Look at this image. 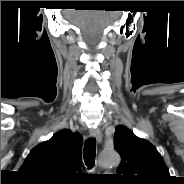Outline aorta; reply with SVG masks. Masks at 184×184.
<instances>
[{"mask_svg":"<svg viewBox=\"0 0 184 184\" xmlns=\"http://www.w3.org/2000/svg\"><path fill=\"white\" fill-rule=\"evenodd\" d=\"M99 163L103 167H115L120 163V156L115 150L103 151Z\"/></svg>","mask_w":184,"mask_h":184,"instance_id":"1","label":"aorta"}]
</instances>
